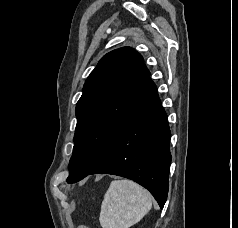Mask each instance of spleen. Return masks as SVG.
<instances>
[{
  "mask_svg": "<svg viewBox=\"0 0 238 228\" xmlns=\"http://www.w3.org/2000/svg\"><path fill=\"white\" fill-rule=\"evenodd\" d=\"M151 207L152 197L146 189L131 180H114L102 201L100 225L102 228H129Z\"/></svg>",
  "mask_w": 238,
  "mask_h": 228,
  "instance_id": "obj_1",
  "label": "spleen"
}]
</instances>
